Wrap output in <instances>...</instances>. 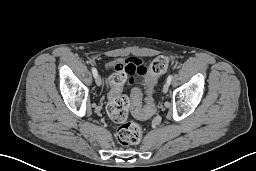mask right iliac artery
Masks as SVG:
<instances>
[{
  "label": "right iliac artery",
  "instance_id": "obj_1",
  "mask_svg": "<svg viewBox=\"0 0 256 171\" xmlns=\"http://www.w3.org/2000/svg\"><path fill=\"white\" fill-rule=\"evenodd\" d=\"M92 74H93L94 78H96V76H97V70H96L95 67H92Z\"/></svg>",
  "mask_w": 256,
  "mask_h": 171
}]
</instances>
